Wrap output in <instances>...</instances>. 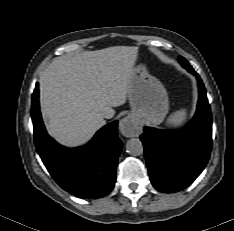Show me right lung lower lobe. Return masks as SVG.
<instances>
[{"instance_id":"1","label":"right lung lower lobe","mask_w":234,"mask_h":231,"mask_svg":"<svg viewBox=\"0 0 234 231\" xmlns=\"http://www.w3.org/2000/svg\"><path fill=\"white\" fill-rule=\"evenodd\" d=\"M31 117L36 150L64 190L85 199L100 198L112 191L122 151V141L117 135L118 121L101 128L85 146L65 148L46 132L40 113L38 83L32 96Z\"/></svg>"}]
</instances>
